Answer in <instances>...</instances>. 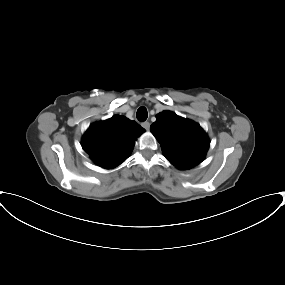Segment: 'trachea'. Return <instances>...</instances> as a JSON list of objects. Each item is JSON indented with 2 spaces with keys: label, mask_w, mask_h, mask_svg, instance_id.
Returning <instances> with one entry per match:
<instances>
[{
  "label": "trachea",
  "mask_w": 285,
  "mask_h": 285,
  "mask_svg": "<svg viewBox=\"0 0 285 285\" xmlns=\"http://www.w3.org/2000/svg\"><path fill=\"white\" fill-rule=\"evenodd\" d=\"M136 116L139 121L144 122L148 117L147 109L143 106L140 107L137 110Z\"/></svg>",
  "instance_id": "obj_1"
}]
</instances>
